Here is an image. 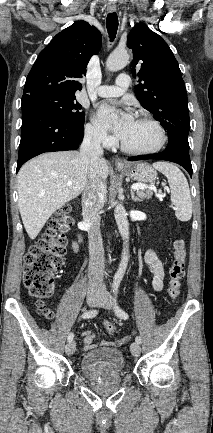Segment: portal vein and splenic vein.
Returning <instances> with one entry per match:
<instances>
[{"instance_id": "1", "label": "portal vein and splenic vein", "mask_w": 213, "mask_h": 433, "mask_svg": "<svg viewBox=\"0 0 213 433\" xmlns=\"http://www.w3.org/2000/svg\"><path fill=\"white\" fill-rule=\"evenodd\" d=\"M72 185V183L71 182H68L67 183V186H71ZM131 188L133 189V190H142V189H145V188H149V189H152V190H156L155 189V187L154 186H146V185H143V184H133L132 186H131ZM160 200H162V198H163V195H156Z\"/></svg>"}]
</instances>
